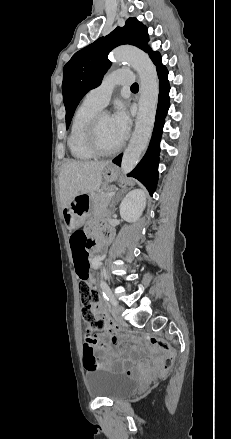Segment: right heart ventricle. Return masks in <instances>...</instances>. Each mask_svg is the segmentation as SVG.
Masks as SVG:
<instances>
[{
    "instance_id": "obj_1",
    "label": "right heart ventricle",
    "mask_w": 231,
    "mask_h": 439,
    "mask_svg": "<svg viewBox=\"0 0 231 439\" xmlns=\"http://www.w3.org/2000/svg\"><path fill=\"white\" fill-rule=\"evenodd\" d=\"M100 110L101 107L84 99L73 115L67 145L71 155L78 160H90L95 156L85 141V130L92 116Z\"/></svg>"
}]
</instances>
